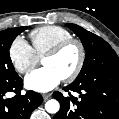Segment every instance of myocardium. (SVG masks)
<instances>
[{"mask_svg": "<svg viewBox=\"0 0 119 119\" xmlns=\"http://www.w3.org/2000/svg\"><path fill=\"white\" fill-rule=\"evenodd\" d=\"M72 45L77 46V48L79 50V60H78V63L76 65L75 69L70 74L63 77V80L66 82H71V81L75 80L79 76V74L81 73V71L84 67L85 60H86V49H85L84 44L79 39L72 37V38L64 40V41L60 42L59 44H57L56 46H54L44 56V58L58 56L63 51H65L68 47H70Z\"/></svg>", "mask_w": 119, "mask_h": 119, "instance_id": "myocardium-1", "label": "myocardium"}]
</instances>
